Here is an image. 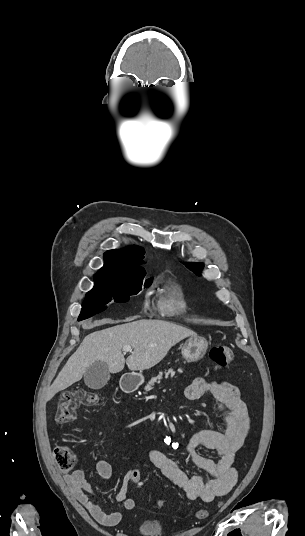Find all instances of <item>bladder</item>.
Masks as SVG:
<instances>
[{"mask_svg":"<svg viewBox=\"0 0 305 536\" xmlns=\"http://www.w3.org/2000/svg\"><path fill=\"white\" fill-rule=\"evenodd\" d=\"M137 529L140 536H163L164 534L163 523L155 520L142 519Z\"/></svg>","mask_w":305,"mask_h":536,"instance_id":"31cf9c89","label":"bladder"}]
</instances>
